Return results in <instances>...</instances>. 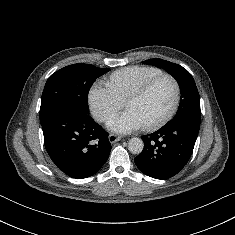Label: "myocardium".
I'll return each mask as SVG.
<instances>
[{
	"instance_id": "f54148a6",
	"label": "myocardium",
	"mask_w": 235,
	"mask_h": 235,
	"mask_svg": "<svg viewBox=\"0 0 235 235\" xmlns=\"http://www.w3.org/2000/svg\"><path fill=\"white\" fill-rule=\"evenodd\" d=\"M169 80L173 87H174V100L173 103L170 107V109L167 111L165 115H163L161 118L158 120L143 125V128L145 130H154L157 129L161 126H163L165 123H167L176 113L179 103H180V98H181V89L178 81L171 75L169 74H160L149 81H147L145 84H143L140 88H138L136 91L131 93L128 98L125 100V106L127 107L128 104L136 99H140L144 97L159 81L161 80Z\"/></svg>"
}]
</instances>
